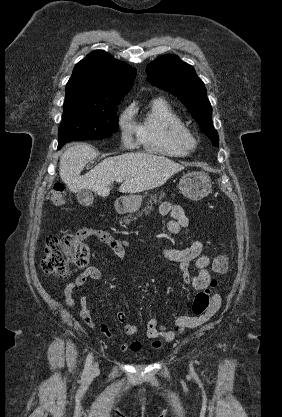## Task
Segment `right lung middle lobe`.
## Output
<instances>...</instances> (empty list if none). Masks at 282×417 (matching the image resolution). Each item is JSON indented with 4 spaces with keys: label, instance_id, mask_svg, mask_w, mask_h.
I'll list each match as a JSON object with an SVG mask.
<instances>
[{
    "label": "right lung middle lobe",
    "instance_id": "dd1d6c3e",
    "mask_svg": "<svg viewBox=\"0 0 282 417\" xmlns=\"http://www.w3.org/2000/svg\"><path fill=\"white\" fill-rule=\"evenodd\" d=\"M123 97L120 94L66 95L59 145L110 137L118 129L117 105Z\"/></svg>",
    "mask_w": 282,
    "mask_h": 417
}]
</instances>
